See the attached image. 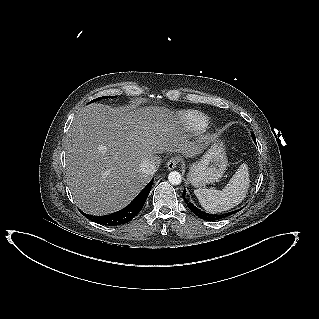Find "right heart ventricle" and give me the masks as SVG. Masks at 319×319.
<instances>
[{"instance_id":"obj_1","label":"right heart ventricle","mask_w":319,"mask_h":319,"mask_svg":"<svg viewBox=\"0 0 319 319\" xmlns=\"http://www.w3.org/2000/svg\"><path fill=\"white\" fill-rule=\"evenodd\" d=\"M179 120L189 131H199L209 123V118L202 112L188 110L179 113Z\"/></svg>"}]
</instances>
